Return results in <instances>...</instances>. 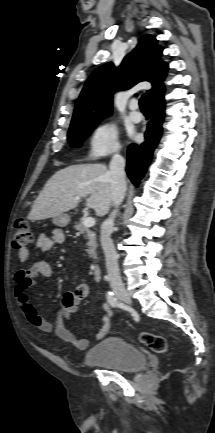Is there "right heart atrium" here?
Instances as JSON below:
<instances>
[{"label": "right heart atrium", "instance_id": "right-heart-atrium-1", "mask_svg": "<svg viewBox=\"0 0 215 433\" xmlns=\"http://www.w3.org/2000/svg\"><path fill=\"white\" fill-rule=\"evenodd\" d=\"M118 129L113 123H103L96 127L89 139L88 154L91 158H102L118 152Z\"/></svg>", "mask_w": 215, "mask_h": 433}]
</instances>
